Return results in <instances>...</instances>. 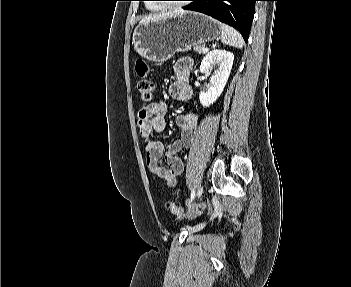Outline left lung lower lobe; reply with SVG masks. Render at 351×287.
Wrapping results in <instances>:
<instances>
[{
    "label": "left lung lower lobe",
    "mask_w": 351,
    "mask_h": 287,
    "mask_svg": "<svg viewBox=\"0 0 351 287\" xmlns=\"http://www.w3.org/2000/svg\"><path fill=\"white\" fill-rule=\"evenodd\" d=\"M184 9L207 14L235 27L248 41L257 0H191Z\"/></svg>",
    "instance_id": "obj_1"
}]
</instances>
